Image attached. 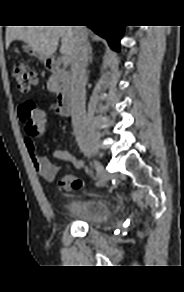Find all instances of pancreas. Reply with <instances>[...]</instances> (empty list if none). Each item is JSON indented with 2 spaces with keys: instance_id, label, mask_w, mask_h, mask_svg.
Returning <instances> with one entry per match:
<instances>
[{
  "instance_id": "1",
  "label": "pancreas",
  "mask_w": 184,
  "mask_h": 292,
  "mask_svg": "<svg viewBox=\"0 0 184 292\" xmlns=\"http://www.w3.org/2000/svg\"><path fill=\"white\" fill-rule=\"evenodd\" d=\"M61 86H66L62 80L60 72H54L48 80V90L56 93Z\"/></svg>"
}]
</instances>
